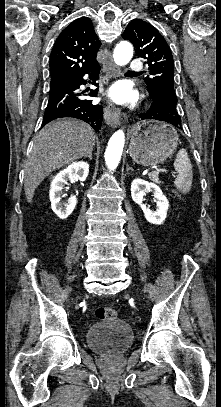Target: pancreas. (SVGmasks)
<instances>
[{
    "mask_svg": "<svg viewBox=\"0 0 221 407\" xmlns=\"http://www.w3.org/2000/svg\"><path fill=\"white\" fill-rule=\"evenodd\" d=\"M150 179H151L152 181L156 182V183H160V182H161V181L159 180L157 174H151V175H150Z\"/></svg>",
    "mask_w": 221,
    "mask_h": 407,
    "instance_id": "1",
    "label": "pancreas"
}]
</instances>
